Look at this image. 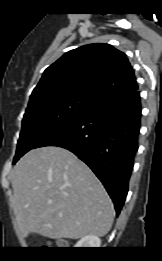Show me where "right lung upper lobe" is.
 Wrapping results in <instances>:
<instances>
[{
	"mask_svg": "<svg viewBox=\"0 0 162 261\" xmlns=\"http://www.w3.org/2000/svg\"><path fill=\"white\" fill-rule=\"evenodd\" d=\"M138 89L127 56L112 45H84L64 54L43 73L30 100L80 93L98 102Z\"/></svg>",
	"mask_w": 162,
	"mask_h": 261,
	"instance_id": "right-lung-upper-lobe-1",
	"label": "right lung upper lobe"
}]
</instances>
